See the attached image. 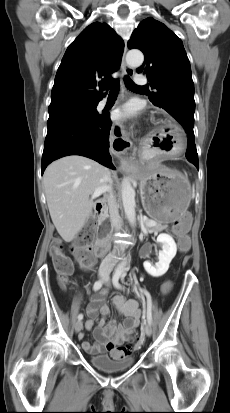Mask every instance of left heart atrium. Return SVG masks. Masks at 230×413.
Instances as JSON below:
<instances>
[{
  "label": "left heart atrium",
  "instance_id": "1",
  "mask_svg": "<svg viewBox=\"0 0 230 413\" xmlns=\"http://www.w3.org/2000/svg\"><path fill=\"white\" fill-rule=\"evenodd\" d=\"M137 112V105L133 103H128L120 109L116 110V112L114 113V117L116 120H125L136 116Z\"/></svg>",
  "mask_w": 230,
  "mask_h": 413
}]
</instances>
